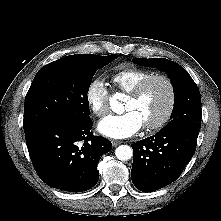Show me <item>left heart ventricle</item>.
<instances>
[{
  "label": "left heart ventricle",
  "mask_w": 221,
  "mask_h": 221,
  "mask_svg": "<svg viewBox=\"0 0 221 221\" xmlns=\"http://www.w3.org/2000/svg\"><path fill=\"white\" fill-rule=\"evenodd\" d=\"M169 102L168 87L161 80L152 81L139 99L128 98L125 111L135 112L142 125H149L159 120L165 113Z\"/></svg>",
  "instance_id": "obj_1"
}]
</instances>
